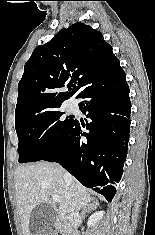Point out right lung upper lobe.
Here are the masks:
<instances>
[{
  "label": "right lung upper lobe",
  "mask_w": 155,
  "mask_h": 235,
  "mask_svg": "<svg viewBox=\"0 0 155 235\" xmlns=\"http://www.w3.org/2000/svg\"><path fill=\"white\" fill-rule=\"evenodd\" d=\"M120 67L112 47L91 26L77 22L34 49L18 84L15 118L37 110L60 107L78 98L94 83L116 74ZM69 92H60L61 87Z\"/></svg>",
  "instance_id": "obj_1"
}]
</instances>
